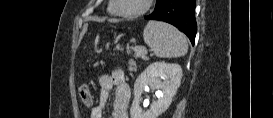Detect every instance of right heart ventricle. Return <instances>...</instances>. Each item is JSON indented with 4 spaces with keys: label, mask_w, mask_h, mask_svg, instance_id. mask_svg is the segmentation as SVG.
Wrapping results in <instances>:
<instances>
[{
    "label": "right heart ventricle",
    "mask_w": 273,
    "mask_h": 118,
    "mask_svg": "<svg viewBox=\"0 0 273 118\" xmlns=\"http://www.w3.org/2000/svg\"><path fill=\"white\" fill-rule=\"evenodd\" d=\"M108 12H112L111 6L108 7Z\"/></svg>",
    "instance_id": "1"
}]
</instances>
